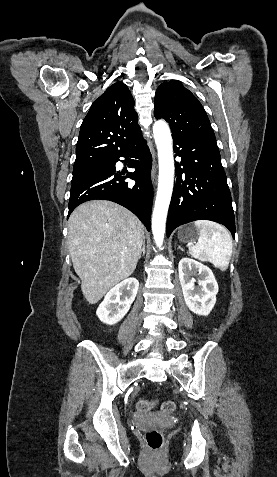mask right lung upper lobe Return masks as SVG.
Here are the masks:
<instances>
[{
    "instance_id": "1",
    "label": "right lung upper lobe",
    "mask_w": 277,
    "mask_h": 477,
    "mask_svg": "<svg viewBox=\"0 0 277 477\" xmlns=\"http://www.w3.org/2000/svg\"><path fill=\"white\" fill-rule=\"evenodd\" d=\"M142 137L134 99L123 82L111 85L84 118L74 168L103 163Z\"/></svg>"
}]
</instances>
